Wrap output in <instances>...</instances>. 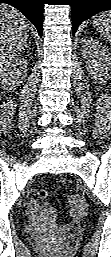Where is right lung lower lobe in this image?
<instances>
[{
    "mask_svg": "<svg viewBox=\"0 0 111 257\" xmlns=\"http://www.w3.org/2000/svg\"><path fill=\"white\" fill-rule=\"evenodd\" d=\"M22 12L36 27L40 37L43 34L44 0H0Z\"/></svg>",
    "mask_w": 111,
    "mask_h": 257,
    "instance_id": "obj_1",
    "label": "right lung lower lobe"
}]
</instances>
